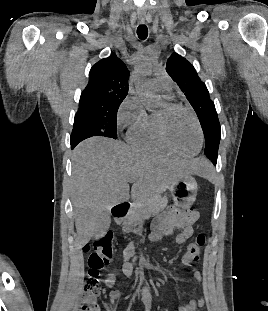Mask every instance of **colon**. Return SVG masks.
<instances>
[{
    "label": "colon",
    "instance_id": "colon-1",
    "mask_svg": "<svg viewBox=\"0 0 268 311\" xmlns=\"http://www.w3.org/2000/svg\"><path fill=\"white\" fill-rule=\"evenodd\" d=\"M206 243V235L199 233L195 240L190 243L183 256V263L191 265L199 259L201 249ZM88 253V278L82 292V304L78 311H99L97 297L101 291L99 271L108 265L114 257L112 235L110 232L96 238L92 248L86 247Z\"/></svg>",
    "mask_w": 268,
    "mask_h": 311
}]
</instances>
